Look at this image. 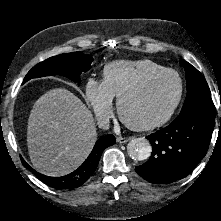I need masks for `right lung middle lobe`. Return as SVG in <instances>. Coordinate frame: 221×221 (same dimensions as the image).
I'll use <instances>...</instances> for the list:
<instances>
[{
    "instance_id": "dd1d6c3e",
    "label": "right lung middle lobe",
    "mask_w": 221,
    "mask_h": 221,
    "mask_svg": "<svg viewBox=\"0 0 221 221\" xmlns=\"http://www.w3.org/2000/svg\"><path fill=\"white\" fill-rule=\"evenodd\" d=\"M93 58L82 52H73L57 55L37 64L25 76L23 82L32 78L48 75H63L75 82H80V74L91 67Z\"/></svg>"
}]
</instances>
